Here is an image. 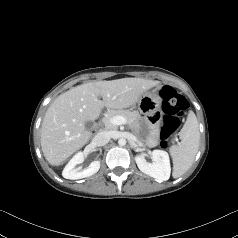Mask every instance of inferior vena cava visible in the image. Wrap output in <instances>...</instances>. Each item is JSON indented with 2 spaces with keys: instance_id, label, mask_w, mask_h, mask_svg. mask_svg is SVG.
<instances>
[{
  "instance_id": "1",
  "label": "inferior vena cava",
  "mask_w": 238,
  "mask_h": 238,
  "mask_svg": "<svg viewBox=\"0 0 238 238\" xmlns=\"http://www.w3.org/2000/svg\"><path fill=\"white\" fill-rule=\"evenodd\" d=\"M110 141V135L107 132H99L93 138L96 146H104Z\"/></svg>"
}]
</instances>
